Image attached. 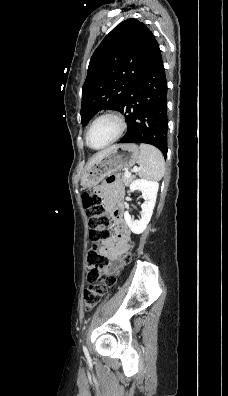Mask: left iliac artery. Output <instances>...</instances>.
Masks as SVG:
<instances>
[{
	"mask_svg": "<svg viewBox=\"0 0 228 396\" xmlns=\"http://www.w3.org/2000/svg\"><path fill=\"white\" fill-rule=\"evenodd\" d=\"M83 350H84V352H87V349H86V347H85V346H83Z\"/></svg>",
	"mask_w": 228,
	"mask_h": 396,
	"instance_id": "44dca946",
	"label": "left iliac artery"
}]
</instances>
